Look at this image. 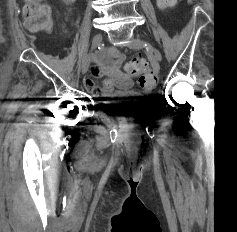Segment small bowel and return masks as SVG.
Wrapping results in <instances>:
<instances>
[{
  "label": "small bowel",
  "mask_w": 237,
  "mask_h": 232,
  "mask_svg": "<svg viewBox=\"0 0 237 232\" xmlns=\"http://www.w3.org/2000/svg\"><path fill=\"white\" fill-rule=\"evenodd\" d=\"M125 56L116 47L98 54L95 57L96 65L91 69V76L84 80L85 88L95 97L116 98L120 94L129 92L132 82L122 75L121 67ZM106 76L99 87L93 78Z\"/></svg>",
  "instance_id": "small-bowel-1"
}]
</instances>
